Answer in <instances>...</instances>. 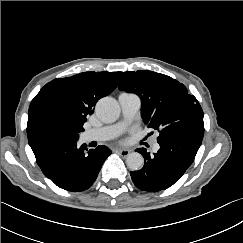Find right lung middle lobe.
I'll return each instance as SVG.
<instances>
[{
  "label": "right lung middle lobe",
  "mask_w": 243,
  "mask_h": 243,
  "mask_svg": "<svg viewBox=\"0 0 243 243\" xmlns=\"http://www.w3.org/2000/svg\"><path fill=\"white\" fill-rule=\"evenodd\" d=\"M41 120L43 128L59 131L76 140L79 138V133L84 131L82 122L56 106L45 108Z\"/></svg>",
  "instance_id": "right-lung-middle-lobe-1"
}]
</instances>
